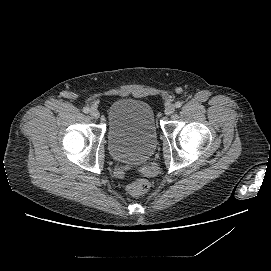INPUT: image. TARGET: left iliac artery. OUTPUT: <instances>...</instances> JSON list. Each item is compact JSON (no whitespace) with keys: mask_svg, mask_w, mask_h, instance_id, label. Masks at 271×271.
I'll return each instance as SVG.
<instances>
[{"mask_svg":"<svg viewBox=\"0 0 271 271\" xmlns=\"http://www.w3.org/2000/svg\"><path fill=\"white\" fill-rule=\"evenodd\" d=\"M182 106V103L180 101L176 102L175 103V107L176 108H180Z\"/></svg>","mask_w":271,"mask_h":271,"instance_id":"left-iliac-artery-1","label":"left iliac artery"}]
</instances>
